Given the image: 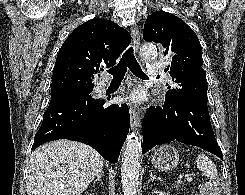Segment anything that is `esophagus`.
Wrapping results in <instances>:
<instances>
[{
  "label": "esophagus",
  "instance_id": "1",
  "mask_svg": "<svg viewBox=\"0 0 245 195\" xmlns=\"http://www.w3.org/2000/svg\"><path fill=\"white\" fill-rule=\"evenodd\" d=\"M131 36H132L134 50L138 52L139 47H140V31L136 25L131 27ZM129 114H130L131 128L132 130H135L140 125L139 112L133 106H130Z\"/></svg>",
  "mask_w": 245,
  "mask_h": 195
}]
</instances>
